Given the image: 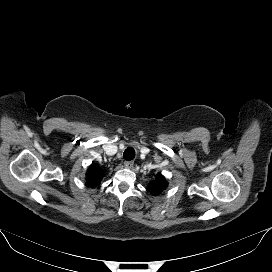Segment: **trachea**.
Segmentation results:
<instances>
[{
  "mask_svg": "<svg viewBox=\"0 0 272 272\" xmlns=\"http://www.w3.org/2000/svg\"><path fill=\"white\" fill-rule=\"evenodd\" d=\"M125 160H132L135 158V150L132 147H128L123 154Z\"/></svg>",
  "mask_w": 272,
  "mask_h": 272,
  "instance_id": "obj_1",
  "label": "trachea"
}]
</instances>
